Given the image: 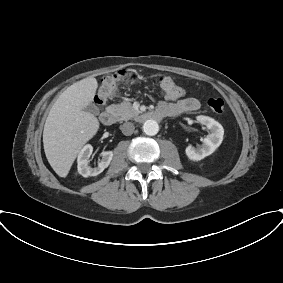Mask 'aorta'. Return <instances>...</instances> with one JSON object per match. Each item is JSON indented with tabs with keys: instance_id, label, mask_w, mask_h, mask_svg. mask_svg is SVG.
Instances as JSON below:
<instances>
[{
	"instance_id": "762f6f07",
	"label": "aorta",
	"mask_w": 283,
	"mask_h": 283,
	"mask_svg": "<svg viewBox=\"0 0 283 283\" xmlns=\"http://www.w3.org/2000/svg\"><path fill=\"white\" fill-rule=\"evenodd\" d=\"M143 131L149 136H154L159 131V125L155 120H146L143 124Z\"/></svg>"
}]
</instances>
